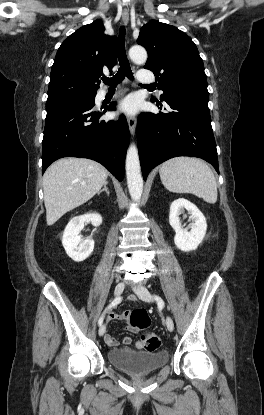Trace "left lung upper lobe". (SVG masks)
<instances>
[{"label": "left lung upper lobe", "instance_id": "left-lung-upper-lobe-1", "mask_svg": "<svg viewBox=\"0 0 264 415\" xmlns=\"http://www.w3.org/2000/svg\"><path fill=\"white\" fill-rule=\"evenodd\" d=\"M148 52L144 68L158 78L165 100L179 93L209 95L203 61L194 42L174 26L152 20L137 39Z\"/></svg>", "mask_w": 264, "mask_h": 415}]
</instances>
